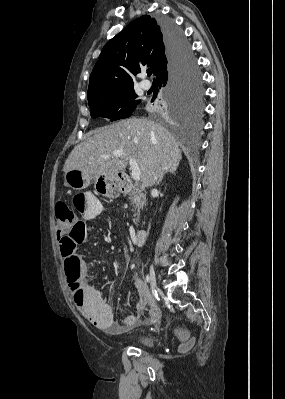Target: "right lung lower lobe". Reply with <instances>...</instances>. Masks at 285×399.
I'll list each match as a JSON object with an SVG mask.
<instances>
[{"instance_id": "1", "label": "right lung lower lobe", "mask_w": 285, "mask_h": 399, "mask_svg": "<svg viewBox=\"0 0 285 399\" xmlns=\"http://www.w3.org/2000/svg\"><path fill=\"white\" fill-rule=\"evenodd\" d=\"M167 53V65L158 73L159 87L172 88L186 74L193 59L192 52L183 32L171 20H161Z\"/></svg>"}]
</instances>
